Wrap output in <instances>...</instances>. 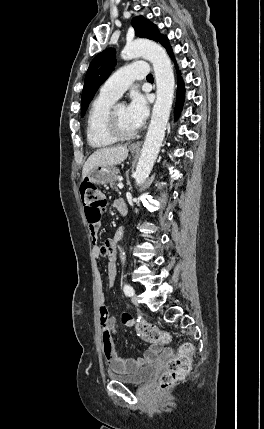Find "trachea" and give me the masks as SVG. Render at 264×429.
Instances as JSON below:
<instances>
[{"label": "trachea", "mask_w": 264, "mask_h": 429, "mask_svg": "<svg viewBox=\"0 0 264 429\" xmlns=\"http://www.w3.org/2000/svg\"><path fill=\"white\" fill-rule=\"evenodd\" d=\"M153 79V75L152 74H149L148 76H147V80H152Z\"/></svg>", "instance_id": "3493384b"}]
</instances>
